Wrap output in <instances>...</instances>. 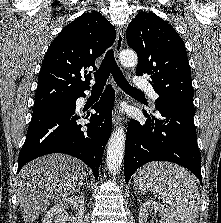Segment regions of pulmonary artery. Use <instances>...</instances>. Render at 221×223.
<instances>
[{"label": "pulmonary artery", "instance_id": "pulmonary-artery-1", "mask_svg": "<svg viewBox=\"0 0 221 223\" xmlns=\"http://www.w3.org/2000/svg\"><path fill=\"white\" fill-rule=\"evenodd\" d=\"M134 85L138 89L146 90L149 93L152 100H156L158 98V94L152 89L147 79L144 78L135 79Z\"/></svg>", "mask_w": 221, "mask_h": 223}]
</instances>
